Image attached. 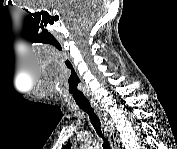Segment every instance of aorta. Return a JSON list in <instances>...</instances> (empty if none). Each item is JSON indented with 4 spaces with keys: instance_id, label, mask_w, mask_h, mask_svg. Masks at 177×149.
Instances as JSON below:
<instances>
[{
    "instance_id": "762f6f07",
    "label": "aorta",
    "mask_w": 177,
    "mask_h": 149,
    "mask_svg": "<svg viewBox=\"0 0 177 149\" xmlns=\"http://www.w3.org/2000/svg\"><path fill=\"white\" fill-rule=\"evenodd\" d=\"M84 148L85 149H99V145L98 144L85 145Z\"/></svg>"
}]
</instances>
